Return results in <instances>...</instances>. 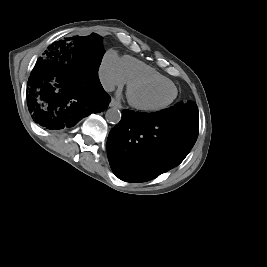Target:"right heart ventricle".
Wrapping results in <instances>:
<instances>
[{
  "instance_id": "e07e8e85",
  "label": "right heart ventricle",
  "mask_w": 267,
  "mask_h": 267,
  "mask_svg": "<svg viewBox=\"0 0 267 267\" xmlns=\"http://www.w3.org/2000/svg\"><path fill=\"white\" fill-rule=\"evenodd\" d=\"M121 67L126 82L142 78L170 81L168 78H166L151 66L130 56L122 57Z\"/></svg>"
}]
</instances>
